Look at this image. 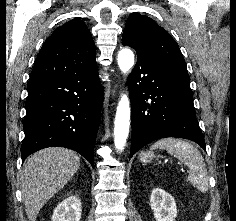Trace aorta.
<instances>
[{
    "label": "aorta",
    "instance_id": "aorta-1",
    "mask_svg": "<svg viewBox=\"0 0 236 221\" xmlns=\"http://www.w3.org/2000/svg\"><path fill=\"white\" fill-rule=\"evenodd\" d=\"M117 62L120 70L127 73L134 65V54L128 48L119 51ZM114 127V145L116 149L122 150L127 141L130 125V102L126 94H122L119 100Z\"/></svg>",
    "mask_w": 236,
    "mask_h": 221
}]
</instances>
